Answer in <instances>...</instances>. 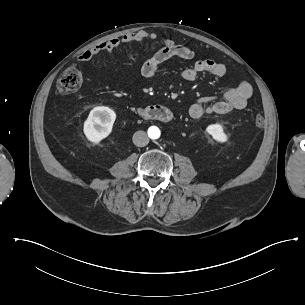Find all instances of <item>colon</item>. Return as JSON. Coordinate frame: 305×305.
<instances>
[{
	"label": "colon",
	"instance_id": "5ec220e1",
	"mask_svg": "<svg viewBox=\"0 0 305 305\" xmlns=\"http://www.w3.org/2000/svg\"><path fill=\"white\" fill-rule=\"evenodd\" d=\"M83 82L81 72L74 68L67 69L64 74L56 82V91L59 94H67L76 91ZM255 124L262 126L264 124V117L261 114L255 116Z\"/></svg>",
	"mask_w": 305,
	"mask_h": 305
}]
</instances>
